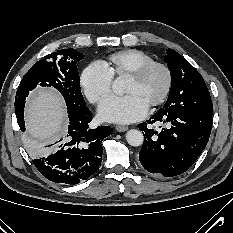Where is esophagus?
<instances>
[{
  "mask_svg": "<svg viewBox=\"0 0 233 233\" xmlns=\"http://www.w3.org/2000/svg\"><path fill=\"white\" fill-rule=\"evenodd\" d=\"M116 130H117L118 132H125V131L128 130V127H127V126H124V125H117V126H116Z\"/></svg>",
  "mask_w": 233,
  "mask_h": 233,
  "instance_id": "obj_1",
  "label": "esophagus"
}]
</instances>
